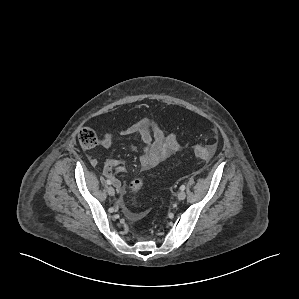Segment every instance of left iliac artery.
Listing matches in <instances>:
<instances>
[{
	"mask_svg": "<svg viewBox=\"0 0 299 299\" xmlns=\"http://www.w3.org/2000/svg\"><path fill=\"white\" fill-rule=\"evenodd\" d=\"M180 190H185V185H181Z\"/></svg>",
	"mask_w": 299,
	"mask_h": 299,
	"instance_id": "1",
	"label": "left iliac artery"
}]
</instances>
